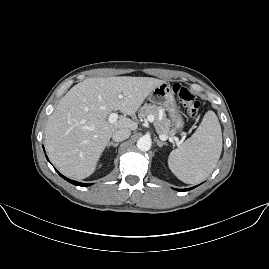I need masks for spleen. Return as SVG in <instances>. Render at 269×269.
I'll return each mask as SVG.
<instances>
[{
  "label": "spleen",
  "instance_id": "3e777b00",
  "mask_svg": "<svg viewBox=\"0 0 269 269\" xmlns=\"http://www.w3.org/2000/svg\"><path fill=\"white\" fill-rule=\"evenodd\" d=\"M222 151V132L216 114L209 111L198 130L168 156L171 172L186 184H197L214 170Z\"/></svg>",
  "mask_w": 269,
  "mask_h": 269
}]
</instances>
